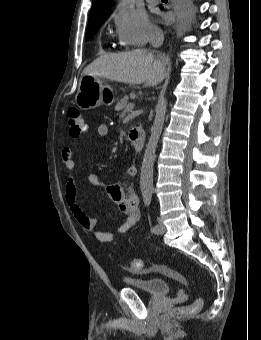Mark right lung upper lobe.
Here are the masks:
<instances>
[{
  "label": "right lung upper lobe",
  "instance_id": "1",
  "mask_svg": "<svg viewBox=\"0 0 261 340\" xmlns=\"http://www.w3.org/2000/svg\"><path fill=\"white\" fill-rule=\"evenodd\" d=\"M113 0H93L89 23L96 20L108 18L111 13V6Z\"/></svg>",
  "mask_w": 261,
  "mask_h": 340
}]
</instances>
